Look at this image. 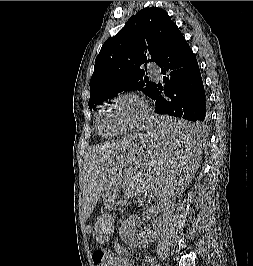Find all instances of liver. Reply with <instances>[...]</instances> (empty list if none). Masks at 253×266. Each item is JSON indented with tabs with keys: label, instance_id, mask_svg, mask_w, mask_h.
Returning <instances> with one entry per match:
<instances>
[{
	"label": "liver",
	"instance_id": "1",
	"mask_svg": "<svg viewBox=\"0 0 253 266\" xmlns=\"http://www.w3.org/2000/svg\"><path fill=\"white\" fill-rule=\"evenodd\" d=\"M134 137L108 142L90 150L85 160V171L88 186L85 191L86 196H90V201L93 202L102 190V174L103 166L118 154Z\"/></svg>",
	"mask_w": 253,
	"mask_h": 266
}]
</instances>
